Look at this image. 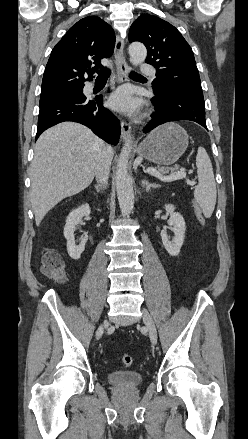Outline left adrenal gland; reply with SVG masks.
Returning a JSON list of instances; mask_svg holds the SVG:
<instances>
[{
  "instance_id": "a2214340",
  "label": "left adrenal gland",
  "mask_w": 248,
  "mask_h": 439,
  "mask_svg": "<svg viewBox=\"0 0 248 439\" xmlns=\"http://www.w3.org/2000/svg\"><path fill=\"white\" fill-rule=\"evenodd\" d=\"M142 186L143 188H145V191L148 192L151 188H156L158 187L157 184L155 183H149L148 180L144 179L142 180Z\"/></svg>"
}]
</instances>
